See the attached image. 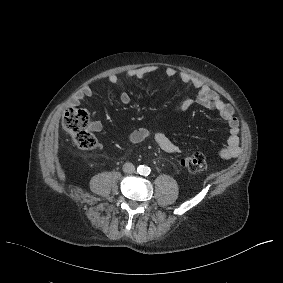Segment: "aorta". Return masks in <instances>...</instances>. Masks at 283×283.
Masks as SVG:
<instances>
[{
  "label": "aorta",
  "instance_id": "obj_1",
  "mask_svg": "<svg viewBox=\"0 0 283 283\" xmlns=\"http://www.w3.org/2000/svg\"><path fill=\"white\" fill-rule=\"evenodd\" d=\"M137 172L140 174V175H149L150 173V168L148 166H145V165H140L138 168H137Z\"/></svg>",
  "mask_w": 283,
  "mask_h": 283
}]
</instances>
